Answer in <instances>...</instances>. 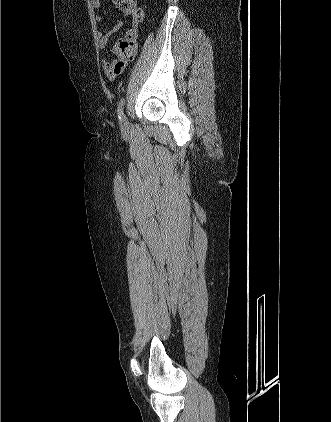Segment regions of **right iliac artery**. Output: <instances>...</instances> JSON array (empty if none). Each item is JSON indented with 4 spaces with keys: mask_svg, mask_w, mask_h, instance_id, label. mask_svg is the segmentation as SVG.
<instances>
[{
    "mask_svg": "<svg viewBox=\"0 0 331 422\" xmlns=\"http://www.w3.org/2000/svg\"><path fill=\"white\" fill-rule=\"evenodd\" d=\"M124 102H125V99H124V98H122V99L120 100V102H119V105H118L117 112H118V119H119V121H121V119H122V117H123V107H124Z\"/></svg>",
    "mask_w": 331,
    "mask_h": 422,
    "instance_id": "right-iliac-artery-1",
    "label": "right iliac artery"
}]
</instances>
